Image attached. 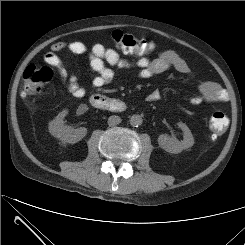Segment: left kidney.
<instances>
[{
    "instance_id": "left-kidney-1",
    "label": "left kidney",
    "mask_w": 245,
    "mask_h": 245,
    "mask_svg": "<svg viewBox=\"0 0 245 245\" xmlns=\"http://www.w3.org/2000/svg\"><path fill=\"white\" fill-rule=\"evenodd\" d=\"M178 127L183 131V140L179 141L175 137L168 135H160L158 138L159 145L169 153H180L183 150H187L194 144V137L184 123H178Z\"/></svg>"
}]
</instances>
